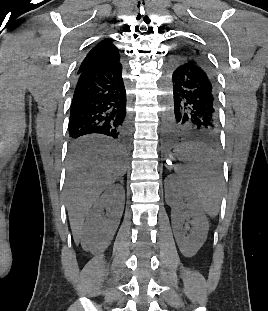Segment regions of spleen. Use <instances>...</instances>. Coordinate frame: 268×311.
Instances as JSON below:
<instances>
[{"mask_svg":"<svg viewBox=\"0 0 268 311\" xmlns=\"http://www.w3.org/2000/svg\"><path fill=\"white\" fill-rule=\"evenodd\" d=\"M174 152L180 160L191 162L187 166H176L175 172L193 185L202 209L215 217L221 202L222 174L216 149L205 148V144H190L182 145Z\"/></svg>","mask_w":268,"mask_h":311,"instance_id":"1","label":"spleen"}]
</instances>
